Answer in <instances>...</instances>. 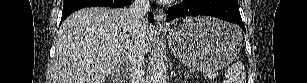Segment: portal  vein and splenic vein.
I'll return each instance as SVG.
<instances>
[{
	"label": "portal vein and splenic vein",
	"instance_id": "18ae733b",
	"mask_svg": "<svg viewBox=\"0 0 307 83\" xmlns=\"http://www.w3.org/2000/svg\"><path fill=\"white\" fill-rule=\"evenodd\" d=\"M216 77V74L214 73H212V74H208L207 75V78H209V79H213V78H215Z\"/></svg>",
	"mask_w": 307,
	"mask_h": 83
}]
</instances>
